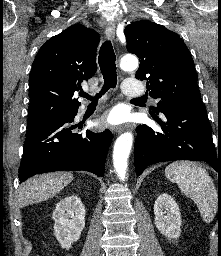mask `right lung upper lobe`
Here are the masks:
<instances>
[{
	"label": "right lung upper lobe",
	"mask_w": 221,
	"mask_h": 256,
	"mask_svg": "<svg viewBox=\"0 0 221 256\" xmlns=\"http://www.w3.org/2000/svg\"><path fill=\"white\" fill-rule=\"evenodd\" d=\"M99 41L96 31L75 24L43 44L29 76L28 117L78 111L80 103L73 96L97 70Z\"/></svg>",
	"instance_id": "obj_1"
}]
</instances>
